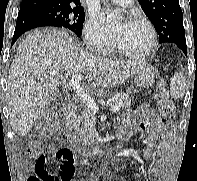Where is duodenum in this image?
Here are the masks:
<instances>
[{
	"label": "duodenum",
	"instance_id": "410a0bca",
	"mask_svg": "<svg viewBox=\"0 0 197 181\" xmlns=\"http://www.w3.org/2000/svg\"><path fill=\"white\" fill-rule=\"evenodd\" d=\"M66 115L69 119H72V117L74 116V109L72 107L68 108L66 111ZM123 138V137H121ZM109 147H105L104 149H100V148H91L89 147L88 150L91 151L92 153H94L95 155L101 157L104 155H108L109 153Z\"/></svg>",
	"mask_w": 197,
	"mask_h": 181
}]
</instances>
